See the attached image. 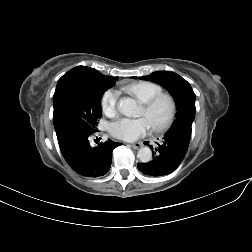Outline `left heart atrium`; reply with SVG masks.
<instances>
[{"label": "left heart atrium", "mask_w": 252, "mask_h": 252, "mask_svg": "<svg viewBox=\"0 0 252 252\" xmlns=\"http://www.w3.org/2000/svg\"><path fill=\"white\" fill-rule=\"evenodd\" d=\"M148 128L149 124L144 117L121 118L110 125L109 131L115 138L134 141L142 137Z\"/></svg>", "instance_id": "1"}]
</instances>
